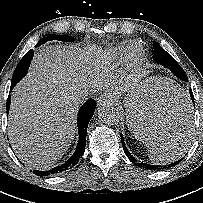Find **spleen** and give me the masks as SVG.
<instances>
[{
  "label": "spleen",
  "mask_w": 203,
  "mask_h": 203,
  "mask_svg": "<svg viewBox=\"0 0 203 203\" xmlns=\"http://www.w3.org/2000/svg\"><path fill=\"white\" fill-rule=\"evenodd\" d=\"M143 99H146L148 103L158 109L159 112L156 115V120L158 115L163 113H178L182 111V109H187L189 112L191 111V104L186 92L169 79H158L150 84L149 88L145 90ZM136 117L135 114L134 118L136 122L143 124L144 127H151L152 130L157 128L156 125H148L147 123L142 122L141 118ZM133 124L134 123L129 122L128 126L136 138L148 147L149 158L156 164H167L178 160L184 155L189 147L190 131H188L186 137L184 136V140L182 139V142L180 141V143L170 139L163 144L156 145L146 138Z\"/></svg>",
  "instance_id": "obj_1"
}]
</instances>
